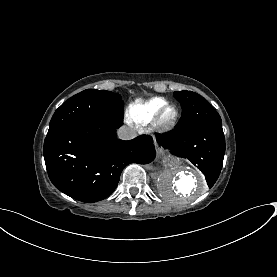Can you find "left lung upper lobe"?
<instances>
[{
  "mask_svg": "<svg viewBox=\"0 0 277 277\" xmlns=\"http://www.w3.org/2000/svg\"><path fill=\"white\" fill-rule=\"evenodd\" d=\"M174 97L180 102L183 117L177 129H185L206 123H222L216 110L200 95L192 91H176Z\"/></svg>",
  "mask_w": 277,
  "mask_h": 277,
  "instance_id": "5c2ea615",
  "label": "left lung upper lobe"
}]
</instances>
